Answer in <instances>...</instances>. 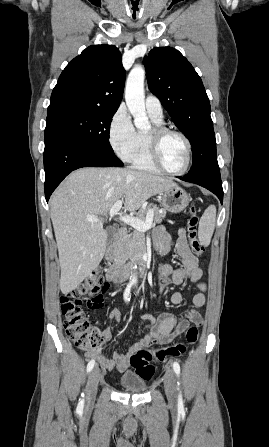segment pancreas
I'll return each instance as SVG.
<instances>
[{"mask_svg": "<svg viewBox=\"0 0 269 447\" xmlns=\"http://www.w3.org/2000/svg\"><path fill=\"white\" fill-rule=\"evenodd\" d=\"M148 210H153L155 224H160V222H162V218L166 216V210H163V208H157L155 204H149L145 210H139L137 218H139V220H146ZM159 210H163L162 214H159ZM143 243V231L134 229L132 233H126V235H123V237L118 239L114 247V261H116V263H124L126 259H131L130 263H135L136 259L142 255Z\"/></svg>", "mask_w": 269, "mask_h": 447, "instance_id": "cf45deb5", "label": "pancreas"}]
</instances>
